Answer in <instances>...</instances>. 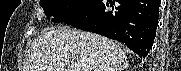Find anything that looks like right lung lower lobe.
Instances as JSON below:
<instances>
[{
	"label": "right lung lower lobe",
	"mask_w": 181,
	"mask_h": 71,
	"mask_svg": "<svg viewBox=\"0 0 181 71\" xmlns=\"http://www.w3.org/2000/svg\"><path fill=\"white\" fill-rule=\"evenodd\" d=\"M160 0H95L63 22L125 43L145 58L154 42Z\"/></svg>",
	"instance_id": "1"
}]
</instances>
